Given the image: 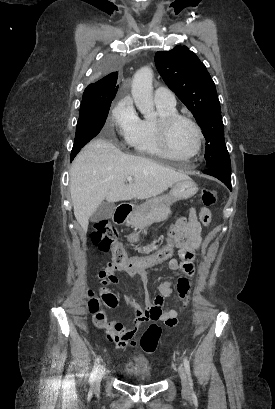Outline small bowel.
Segmentation results:
<instances>
[{
	"label": "small bowel",
	"mask_w": 275,
	"mask_h": 409,
	"mask_svg": "<svg viewBox=\"0 0 275 409\" xmlns=\"http://www.w3.org/2000/svg\"><path fill=\"white\" fill-rule=\"evenodd\" d=\"M210 221V212L207 208H202L200 211V219L196 217L195 211L192 210L189 219H180L176 224V238L178 239L179 258H173L169 262V267L174 271H180L182 275L177 279L176 290L179 299L183 302L181 308L185 309L191 301V278L195 272V256L202 244V224L207 225ZM140 273V274H139ZM139 276L141 282L146 284L147 273L145 268L139 270ZM135 273H129L128 278L132 279ZM144 274V275H141ZM108 278L112 280L113 286L119 285V280L114 279L115 275L110 273ZM127 281V280H126ZM104 283L108 282L107 278L103 279ZM109 285V284H108ZM174 282L167 280L158 287V295L154 299L152 305L147 301L148 305L142 307L128 292L124 293L123 300L133 310L135 317L139 322L154 321L153 325H146L144 332L141 335L139 344L143 351H146L147 355H155L158 347L161 346L162 341L159 338L160 332L159 322L163 321L167 325H175L177 322L178 311L175 309H162L164 298L169 296L173 291ZM133 327L138 325L136 320L131 322ZM112 330L105 335L107 342H113L115 351L126 350L127 346L131 349L135 348L136 340L134 339V331L126 329L122 322H114L112 324ZM136 330V328L134 329Z\"/></svg>",
	"instance_id": "1"
}]
</instances>
